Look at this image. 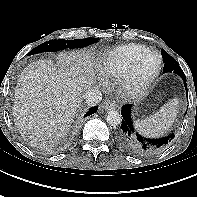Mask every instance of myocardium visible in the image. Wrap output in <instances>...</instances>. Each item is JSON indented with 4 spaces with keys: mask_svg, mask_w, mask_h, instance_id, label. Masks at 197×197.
<instances>
[{
    "mask_svg": "<svg viewBox=\"0 0 197 197\" xmlns=\"http://www.w3.org/2000/svg\"><path fill=\"white\" fill-rule=\"evenodd\" d=\"M157 56L158 67L156 71L146 80L138 82L136 80V70L138 65L148 56ZM163 61L161 55L156 51H148L137 57L125 74L120 78L118 87L120 93L127 98H139L144 96L152 87L159 74L161 73Z\"/></svg>",
    "mask_w": 197,
    "mask_h": 197,
    "instance_id": "1",
    "label": "myocardium"
}]
</instances>
